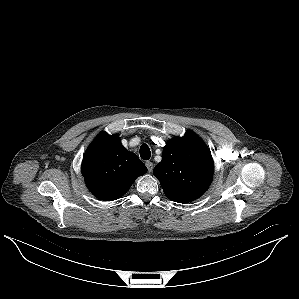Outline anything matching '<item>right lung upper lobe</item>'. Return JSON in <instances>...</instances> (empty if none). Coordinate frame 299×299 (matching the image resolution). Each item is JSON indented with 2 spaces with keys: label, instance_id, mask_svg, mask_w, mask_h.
Segmentation results:
<instances>
[{
  "label": "right lung upper lobe",
  "instance_id": "obj_1",
  "mask_svg": "<svg viewBox=\"0 0 299 299\" xmlns=\"http://www.w3.org/2000/svg\"><path fill=\"white\" fill-rule=\"evenodd\" d=\"M146 171L143 162L125 149L117 135L106 132L96 137L82 161V174L88 189L105 201L123 196Z\"/></svg>",
  "mask_w": 299,
  "mask_h": 299
}]
</instances>
